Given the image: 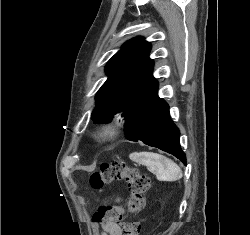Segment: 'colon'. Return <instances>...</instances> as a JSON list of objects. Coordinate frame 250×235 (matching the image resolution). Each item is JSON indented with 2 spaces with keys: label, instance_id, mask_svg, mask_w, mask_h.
I'll use <instances>...</instances> for the list:
<instances>
[{
  "label": "colon",
  "instance_id": "obj_1",
  "mask_svg": "<svg viewBox=\"0 0 250 235\" xmlns=\"http://www.w3.org/2000/svg\"><path fill=\"white\" fill-rule=\"evenodd\" d=\"M118 181H125L127 184L129 193L127 204L103 205L95 212L93 220L102 225H119L123 235H140L139 222L128 219V216L139 212L144 206L150 179L123 161L101 165L90 177V185L96 190Z\"/></svg>",
  "mask_w": 250,
  "mask_h": 235
}]
</instances>
